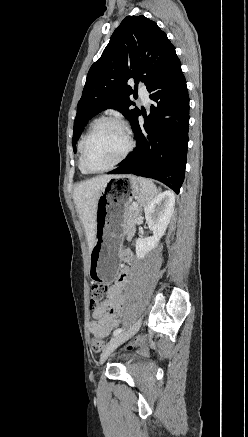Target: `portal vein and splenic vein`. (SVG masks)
<instances>
[{"label":"portal vein and splenic vein","mask_w":248,"mask_h":437,"mask_svg":"<svg viewBox=\"0 0 248 437\" xmlns=\"http://www.w3.org/2000/svg\"><path fill=\"white\" fill-rule=\"evenodd\" d=\"M133 206H138L137 203H133Z\"/></svg>","instance_id":"18ae733b"}]
</instances>
